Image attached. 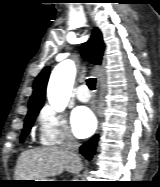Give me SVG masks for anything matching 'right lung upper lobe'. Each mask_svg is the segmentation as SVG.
I'll list each match as a JSON object with an SVG mask.
<instances>
[{"mask_svg": "<svg viewBox=\"0 0 160 187\" xmlns=\"http://www.w3.org/2000/svg\"><path fill=\"white\" fill-rule=\"evenodd\" d=\"M104 48L105 46L103 43L102 34L98 28H94L89 43H85L81 47V55L85 60H88L93 64L100 65ZM49 74V67H46L35 79L33 84V94L28 104V113L35 110H40L43 106Z\"/></svg>", "mask_w": 160, "mask_h": 187, "instance_id": "obj_1", "label": "right lung upper lobe"}]
</instances>
